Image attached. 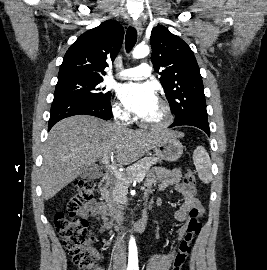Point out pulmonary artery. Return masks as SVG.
Segmentation results:
<instances>
[{
    "label": "pulmonary artery",
    "instance_id": "pulmonary-artery-1",
    "mask_svg": "<svg viewBox=\"0 0 267 270\" xmlns=\"http://www.w3.org/2000/svg\"><path fill=\"white\" fill-rule=\"evenodd\" d=\"M151 73H152L151 66L147 63H141L137 67L128 68L120 71L118 73V76L123 79L137 80L147 78L151 75Z\"/></svg>",
    "mask_w": 267,
    "mask_h": 270
}]
</instances>
